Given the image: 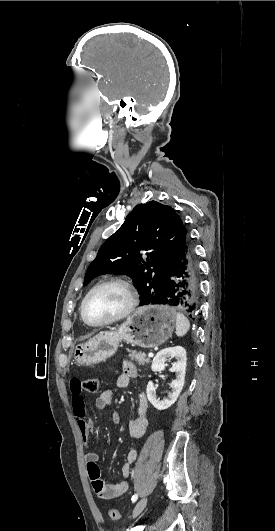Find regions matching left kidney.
I'll return each mask as SVG.
<instances>
[{"label":"left kidney","instance_id":"1","mask_svg":"<svg viewBox=\"0 0 275 531\" xmlns=\"http://www.w3.org/2000/svg\"><path fill=\"white\" fill-rule=\"evenodd\" d=\"M168 357H175V359H177V363H174L170 369L172 373H176L175 381L170 383V387L173 389L172 393H169L167 399L160 401V399H157L156 397V387H154L152 381H149L146 389L148 401H150L153 407L158 409V411H164V409H169L171 405H174L184 387L186 351L183 347H168V349H162V351H159L153 359L151 367L152 371H154V373H157V371H164L166 367L165 361H167Z\"/></svg>","mask_w":275,"mask_h":531}]
</instances>
